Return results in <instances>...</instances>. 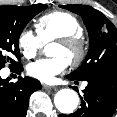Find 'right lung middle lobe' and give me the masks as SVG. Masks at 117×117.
<instances>
[{
    "mask_svg": "<svg viewBox=\"0 0 117 117\" xmlns=\"http://www.w3.org/2000/svg\"><path fill=\"white\" fill-rule=\"evenodd\" d=\"M47 7L45 4L31 6H0V69L19 65V37L27 23Z\"/></svg>",
    "mask_w": 117,
    "mask_h": 117,
    "instance_id": "obj_1",
    "label": "right lung middle lobe"
}]
</instances>
